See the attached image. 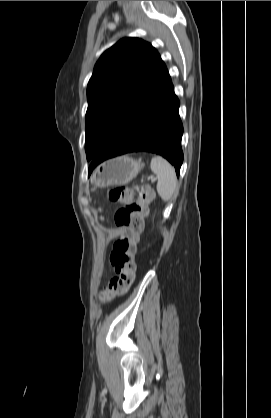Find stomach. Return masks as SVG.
I'll return each instance as SVG.
<instances>
[{
	"mask_svg": "<svg viewBox=\"0 0 271 418\" xmlns=\"http://www.w3.org/2000/svg\"><path fill=\"white\" fill-rule=\"evenodd\" d=\"M144 164L128 156H120L100 164L91 175L95 188L124 185L132 181Z\"/></svg>",
	"mask_w": 271,
	"mask_h": 418,
	"instance_id": "stomach-1",
	"label": "stomach"
}]
</instances>
